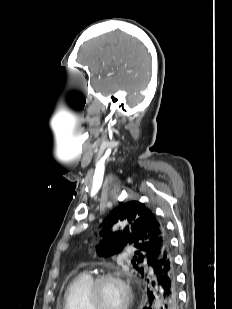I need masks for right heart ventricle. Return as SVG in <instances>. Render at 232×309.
I'll list each match as a JSON object with an SVG mask.
<instances>
[{
    "label": "right heart ventricle",
    "mask_w": 232,
    "mask_h": 309,
    "mask_svg": "<svg viewBox=\"0 0 232 309\" xmlns=\"http://www.w3.org/2000/svg\"><path fill=\"white\" fill-rule=\"evenodd\" d=\"M92 280L87 272L78 274L66 289L63 309H90L88 291Z\"/></svg>",
    "instance_id": "obj_1"
}]
</instances>
